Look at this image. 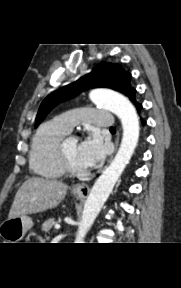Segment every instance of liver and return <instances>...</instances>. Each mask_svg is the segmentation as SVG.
Returning <instances> with one entry per match:
<instances>
[{"instance_id": "1", "label": "liver", "mask_w": 181, "mask_h": 288, "mask_svg": "<svg viewBox=\"0 0 181 288\" xmlns=\"http://www.w3.org/2000/svg\"><path fill=\"white\" fill-rule=\"evenodd\" d=\"M68 186L57 180L32 177L18 189L9 217L26 216L57 207L65 198Z\"/></svg>"}]
</instances>
